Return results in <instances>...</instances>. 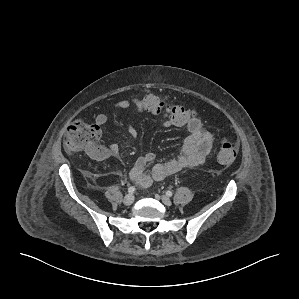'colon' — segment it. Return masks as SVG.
<instances>
[{"label":"colon","mask_w":299,"mask_h":299,"mask_svg":"<svg viewBox=\"0 0 299 299\" xmlns=\"http://www.w3.org/2000/svg\"><path fill=\"white\" fill-rule=\"evenodd\" d=\"M145 112L168 120L175 127H185L196 117L195 111L185 105L172 104L154 92L146 91L140 96ZM99 128L82 120L71 123L66 131L64 148L69 155L82 151L94 153L99 150ZM237 157V147L230 141L223 140L220 144L217 160L223 165L232 164Z\"/></svg>","instance_id":"5ec220e1"}]
</instances>
